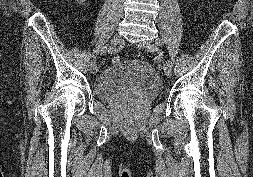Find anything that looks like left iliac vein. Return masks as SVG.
<instances>
[{
    "label": "left iliac vein",
    "instance_id": "4c4485c4",
    "mask_svg": "<svg viewBox=\"0 0 253 177\" xmlns=\"http://www.w3.org/2000/svg\"><path fill=\"white\" fill-rule=\"evenodd\" d=\"M141 49L149 52V53H157L158 52V47L155 43L151 42V41H145L142 42L138 45ZM163 71L164 74L167 77H171L172 75V65L171 66H166L165 64H163Z\"/></svg>",
    "mask_w": 253,
    "mask_h": 177
}]
</instances>
